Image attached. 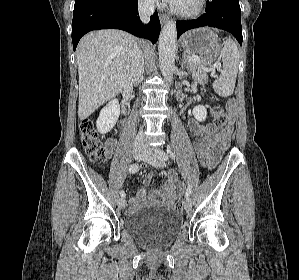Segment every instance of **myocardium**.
Masks as SVG:
<instances>
[{
	"label": "myocardium",
	"mask_w": 299,
	"mask_h": 280,
	"mask_svg": "<svg viewBox=\"0 0 299 280\" xmlns=\"http://www.w3.org/2000/svg\"><path fill=\"white\" fill-rule=\"evenodd\" d=\"M206 3L207 0H198L197 6L192 10H182L174 4H171V11L179 17L194 18L204 11Z\"/></svg>",
	"instance_id": "myocardium-1"
}]
</instances>
